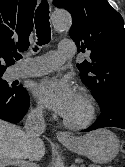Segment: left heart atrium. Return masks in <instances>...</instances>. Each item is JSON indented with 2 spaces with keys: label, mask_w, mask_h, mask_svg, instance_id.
Instances as JSON below:
<instances>
[{
  "label": "left heart atrium",
  "mask_w": 125,
  "mask_h": 167,
  "mask_svg": "<svg viewBox=\"0 0 125 167\" xmlns=\"http://www.w3.org/2000/svg\"><path fill=\"white\" fill-rule=\"evenodd\" d=\"M33 93L42 105L64 117L70 111L77 97L69 78L57 75L39 80L33 86Z\"/></svg>",
  "instance_id": "1"
}]
</instances>
